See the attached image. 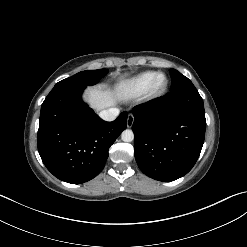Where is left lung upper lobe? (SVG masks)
I'll return each instance as SVG.
<instances>
[{"mask_svg": "<svg viewBox=\"0 0 247 247\" xmlns=\"http://www.w3.org/2000/svg\"><path fill=\"white\" fill-rule=\"evenodd\" d=\"M172 78L171 92L195 91L197 90L192 82L175 69H170Z\"/></svg>", "mask_w": 247, "mask_h": 247, "instance_id": "left-lung-upper-lobe-1", "label": "left lung upper lobe"}]
</instances>
